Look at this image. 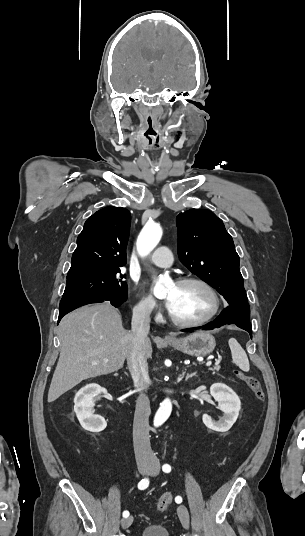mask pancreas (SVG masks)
I'll return each mask as SVG.
<instances>
[{
    "label": "pancreas",
    "instance_id": "1",
    "mask_svg": "<svg viewBox=\"0 0 305 536\" xmlns=\"http://www.w3.org/2000/svg\"><path fill=\"white\" fill-rule=\"evenodd\" d=\"M211 370H212V372H215V370H216V372H219L220 366H214V368H211Z\"/></svg>",
    "mask_w": 305,
    "mask_h": 536
}]
</instances>
